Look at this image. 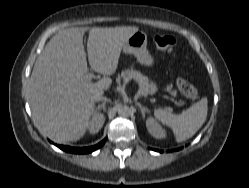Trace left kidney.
<instances>
[{"label":"left kidney","instance_id":"5707ae66","mask_svg":"<svg viewBox=\"0 0 249 188\" xmlns=\"http://www.w3.org/2000/svg\"><path fill=\"white\" fill-rule=\"evenodd\" d=\"M146 127H147L149 133L153 137H155L157 139H161V138H165L166 137L165 130L153 118L150 117V118L147 119V121H146Z\"/></svg>","mask_w":249,"mask_h":188}]
</instances>
